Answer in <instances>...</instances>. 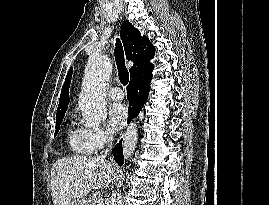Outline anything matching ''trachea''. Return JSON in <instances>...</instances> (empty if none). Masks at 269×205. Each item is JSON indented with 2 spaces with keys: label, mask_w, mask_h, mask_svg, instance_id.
<instances>
[{
  "label": "trachea",
  "mask_w": 269,
  "mask_h": 205,
  "mask_svg": "<svg viewBox=\"0 0 269 205\" xmlns=\"http://www.w3.org/2000/svg\"><path fill=\"white\" fill-rule=\"evenodd\" d=\"M115 61L118 69L119 80L123 85H127L129 82V72L125 66L124 51L120 40L116 39L115 44Z\"/></svg>",
  "instance_id": "trachea-1"
}]
</instances>
